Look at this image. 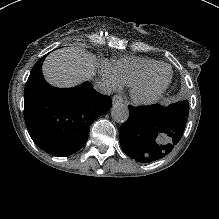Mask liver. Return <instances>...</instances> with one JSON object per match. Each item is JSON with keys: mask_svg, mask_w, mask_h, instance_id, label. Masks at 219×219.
<instances>
[{"mask_svg": "<svg viewBox=\"0 0 219 219\" xmlns=\"http://www.w3.org/2000/svg\"><path fill=\"white\" fill-rule=\"evenodd\" d=\"M42 71L50 84L68 88L92 79L95 58L82 49H59L46 58Z\"/></svg>", "mask_w": 219, "mask_h": 219, "instance_id": "liver-1", "label": "liver"}]
</instances>
